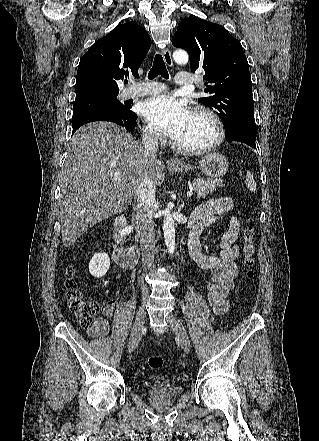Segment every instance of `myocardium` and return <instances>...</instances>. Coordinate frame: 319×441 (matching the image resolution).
<instances>
[{
  "label": "myocardium",
  "instance_id": "f54148a6",
  "mask_svg": "<svg viewBox=\"0 0 319 441\" xmlns=\"http://www.w3.org/2000/svg\"><path fill=\"white\" fill-rule=\"evenodd\" d=\"M192 114L194 115H203L207 117L214 127V137L213 139L203 145L198 147H186L179 144L177 141H173V148L182 154L186 155H201L209 153L214 150L217 146L221 144L224 138V125L221 118L210 108L205 106H196L192 109Z\"/></svg>",
  "mask_w": 319,
  "mask_h": 441
}]
</instances>
